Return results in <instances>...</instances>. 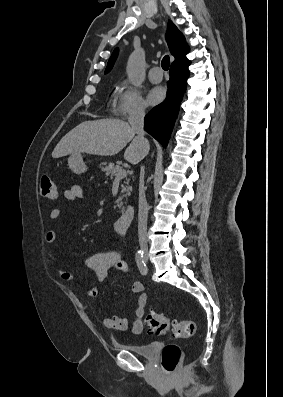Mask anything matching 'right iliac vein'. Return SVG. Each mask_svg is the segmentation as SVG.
Returning a JSON list of instances; mask_svg holds the SVG:
<instances>
[{"label":"right iliac vein","mask_w":283,"mask_h":397,"mask_svg":"<svg viewBox=\"0 0 283 397\" xmlns=\"http://www.w3.org/2000/svg\"><path fill=\"white\" fill-rule=\"evenodd\" d=\"M144 258L146 259V258H147V256L145 255V256H144Z\"/></svg>","instance_id":"63e3f726"}]
</instances>
